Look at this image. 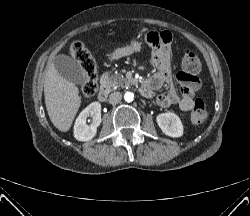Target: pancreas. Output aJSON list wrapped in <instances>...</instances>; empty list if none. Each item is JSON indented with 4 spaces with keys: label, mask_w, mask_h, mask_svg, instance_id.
Instances as JSON below:
<instances>
[{
    "label": "pancreas",
    "mask_w": 250,
    "mask_h": 216,
    "mask_svg": "<svg viewBox=\"0 0 250 216\" xmlns=\"http://www.w3.org/2000/svg\"><path fill=\"white\" fill-rule=\"evenodd\" d=\"M102 83L106 89L111 90L118 87L129 86L131 82L127 80L123 75L117 74L103 77Z\"/></svg>",
    "instance_id": "cf45deb5"
}]
</instances>
